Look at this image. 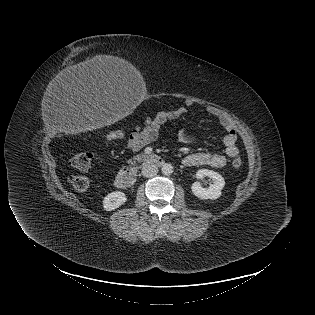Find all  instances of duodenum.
<instances>
[{
    "label": "duodenum",
    "mask_w": 315,
    "mask_h": 315,
    "mask_svg": "<svg viewBox=\"0 0 315 315\" xmlns=\"http://www.w3.org/2000/svg\"><path fill=\"white\" fill-rule=\"evenodd\" d=\"M144 162L147 164H152L156 166H162L164 164V159L158 155H147L144 157ZM136 180V172L131 168L121 169L115 179V185L118 188H128L134 184Z\"/></svg>",
    "instance_id": "duodenum-1"
}]
</instances>
